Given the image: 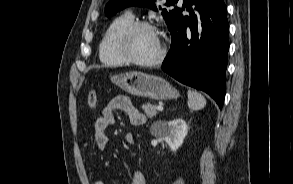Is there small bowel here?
I'll return each mask as SVG.
<instances>
[{
	"label": "small bowel",
	"instance_id": "small-bowel-1",
	"mask_svg": "<svg viewBox=\"0 0 293 184\" xmlns=\"http://www.w3.org/2000/svg\"><path fill=\"white\" fill-rule=\"evenodd\" d=\"M124 112L132 125L140 126L146 121L145 115L137 109L132 101L126 96H116L109 101V103L102 109L101 114L97 117L94 123V133L92 141L100 150H106L109 146V137L106 130L109 126L113 125L116 121L115 112ZM125 142L133 145L135 138L132 133H127L124 137ZM90 146V143L85 145ZM94 184H104L100 180H96ZM129 184H146V179L143 173L135 172Z\"/></svg>",
	"mask_w": 293,
	"mask_h": 184
}]
</instances>
